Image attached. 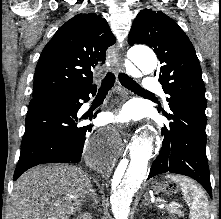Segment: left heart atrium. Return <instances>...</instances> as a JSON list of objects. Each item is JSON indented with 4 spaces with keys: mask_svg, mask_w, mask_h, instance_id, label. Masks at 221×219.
<instances>
[{
    "mask_svg": "<svg viewBox=\"0 0 221 219\" xmlns=\"http://www.w3.org/2000/svg\"><path fill=\"white\" fill-rule=\"evenodd\" d=\"M131 117V113L127 108H123L118 112L112 113L110 115V120L118 123V124H122L127 122Z\"/></svg>",
    "mask_w": 221,
    "mask_h": 219,
    "instance_id": "39dd6f15",
    "label": "left heart atrium"
}]
</instances>
